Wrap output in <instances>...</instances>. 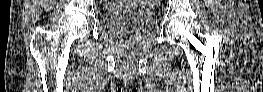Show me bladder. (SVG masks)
<instances>
[{"instance_id":"bladder-1","label":"bladder","mask_w":263,"mask_h":92,"mask_svg":"<svg viewBox=\"0 0 263 92\" xmlns=\"http://www.w3.org/2000/svg\"><path fill=\"white\" fill-rule=\"evenodd\" d=\"M106 28L120 36L140 35L153 28L155 17L148 8L112 9L104 12Z\"/></svg>"}]
</instances>
